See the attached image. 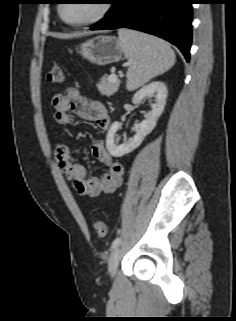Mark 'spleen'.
Segmentation results:
<instances>
[{"label":"spleen","mask_w":236,"mask_h":321,"mask_svg":"<svg viewBox=\"0 0 236 321\" xmlns=\"http://www.w3.org/2000/svg\"><path fill=\"white\" fill-rule=\"evenodd\" d=\"M118 36L130 63L126 83L129 91L143 86L175 63L174 51L162 39L129 29L118 30Z\"/></svg>","instance_id":"3e777b00"}]
</instances>
